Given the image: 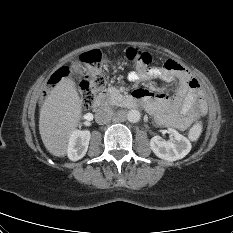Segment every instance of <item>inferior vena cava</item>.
Masks as SVG:
<instances>
[{"label": "inferior vena cava", "mask_w": 233, "mask_h": 233, "mask_svg": "<svg viewBox=\"0 0 233 233\" xmlns=\"http://www.w3.org/2000/svg\"><path fill=\"white\" fill-rule=\"evenodd\" d=\"M114 115V112L110 106H102L96 110L95 120L99 125L108 123Z\"/></svg>", "instance_id": "1"}]
</instances>
